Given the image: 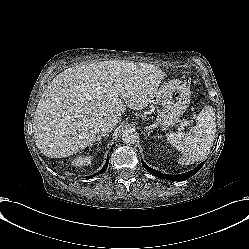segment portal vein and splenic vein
Returning <instances> with one entry per match:
<instances>
[{"label": "portal vein and splenic vein", "mask_w": 249, "mask_h": 249, "mask_svg": "<svg viewBox=\"0 0 249 249\" xmlns=\"http://www.w3.org/2000/svg\"><path fill=\"white\" fill-rule=\"evenodd\" d=\"M186 125V123L181 125V129L184 130V126Z\"/></svg>", "instance_id": "18ae733b"}]
</instances>
